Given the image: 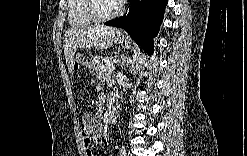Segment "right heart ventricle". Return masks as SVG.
<instances>
[{
  "label": "right heart ventricle",
  "mask_w": 247,
  "mask_h": 156,
  "mask_svg": "<svg viewBox=\"0 0 247 156\" xmlns=\"http://www.w3.org/2000/svg\"><path fill=\"white\" fill-rule=\"evenodd\" d=\"M85 0H70L67 7L68 21L71 27H84L94 23L85 13Z\"/></svg>",
  "instance_id": "right-heart-ventricle-1"
}]
</instances>
